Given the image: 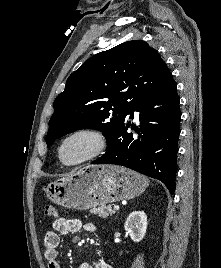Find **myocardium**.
<instances>
[{
	"instance_id": "myocardium-1",
	"label": "myocardium",
	"mask_w": 221,
	"mask_h": 268,
	"mask_svg": "<svg viewBox=\"0 0 221 268\" xmlns=\"http://www.w3.org/2000/svg\"><path fill=\"white\" fill-rule=\"evenodd\" d=\"M77 137L89 138L91 140V147L84 155L78 159L73 161H66L62 155L63 148L69 141ZM107 145V137L101 130L91 127L79 128L68 133L60 140L56 148V157L63 166L74 167L99 157L105 152Z\"/></svg>"
}]
</instances>
